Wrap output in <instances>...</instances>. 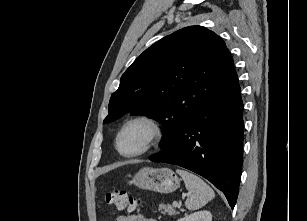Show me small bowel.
<instances>
[{
    "instance_id": "1",
    "label": "small bowel",
    "mask_w": 307,
    "mask_h": 221,
    "mask_svg": "<svg viewBox=\"0 0 307 221\" xmlns=\"http://www.w3.org/2000/svg\"><path fill=\"white\" fill-rule=\"evenodd\" d=\"M116 221H157L149 219L141 214H124L117 217Z\"/></svg>"
}]
</instances>
